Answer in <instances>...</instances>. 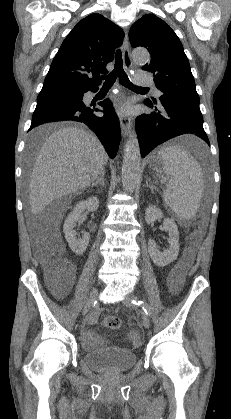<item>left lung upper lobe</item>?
I'll return each instance as SVG.
<instances>
[{
  "mask_svg": "<svg viewBox=\"0 0 231 419\" xmlns=\"http://www.w3.org/2000/svg\"><path fill=\"white\" fill-rule=\"evenodd\" d=\"M129 39L133 47L142 46L150 52L151 60L142 69L153 73L157 88L163 92L160 100L200 101L183 46L166 22L146 14L132 25Z\"/></svg>",
  "mask_w": 231,
  "mask_h": 419,
  "instance_id": "obj_1",
  "label": "left lung upper lobe"
}]
</instances>
